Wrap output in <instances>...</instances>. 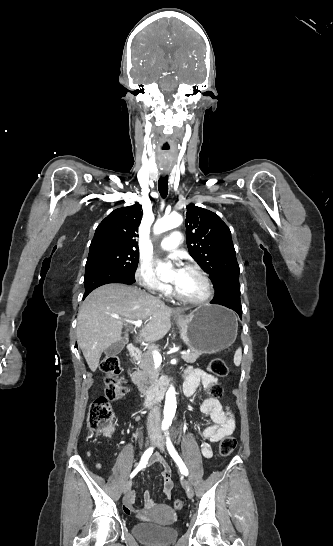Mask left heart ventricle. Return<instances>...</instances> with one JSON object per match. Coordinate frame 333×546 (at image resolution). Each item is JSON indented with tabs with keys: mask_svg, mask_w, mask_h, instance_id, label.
<instances>
[{
	"mask_svg": "<svg viewBox=\"0 0 333 546\" xmlns=\"http://www.w3.org/2000/svg\"><path fill=\"white\" fill-rule=\"evenodd\" d=\"M177 290L183 296L189 298H200L206 294V286L202 278L191 270H185L184 277Z\"/></svg>",
	"mask_w": 333,
	"mask_h": 546,
	"instance_id": "1",
	"label": "left heart ventricle"
}]
</instances>
